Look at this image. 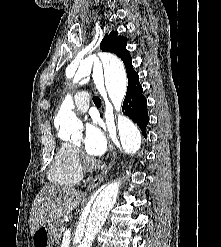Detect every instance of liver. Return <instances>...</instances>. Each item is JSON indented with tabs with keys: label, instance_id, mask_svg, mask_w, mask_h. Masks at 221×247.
Segmentation results:
<instances>
[{
	"label": "liver",
	"instance_id": "1",
	"mask_svg": "<svg viewBox=\"0 0 221 247\" xmlns=\"http://www.w3.org/2000/svg\"><path fill=\"white\" fill-rule=\"evenodd\" d=\"M83 197L82 192L68 187L47 185L37 195L30 213V230L55 223L71 214Z\"/></svg>",
	"mask_w": 221,
	"mask_h": 247
}]
</instances>
